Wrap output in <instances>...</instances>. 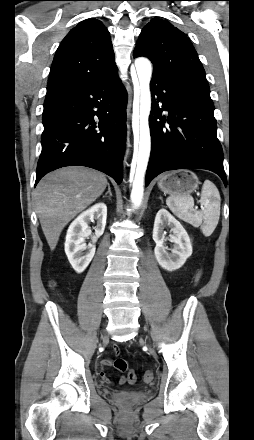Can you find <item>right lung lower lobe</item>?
Masks as SVG:
<instances>
[{"mask_svg": "<svg viewBox=\"0 0 254 440\" xmlns=\"http://www.w3.org/2000/svg\"><path fill=\"white\" fill-rule=\"evenodd\" d=\"M126 103L118 75L47 93L35 185L48 172L72 165L100 170L120 184Z\"/></svg>", "mask_w": 254, "mask_h": 440, "instance_id": "obj_1", "label": "right lung lower lobe"}]
</instances>
